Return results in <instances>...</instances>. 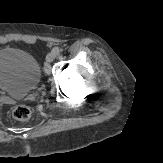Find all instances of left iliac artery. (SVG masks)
<instances>
[{
  "label": "left iliac artery",
  "mask_w": 163,
  "mask_h": 163,
  "mask_svg": "<svg viewBox=\"0 0 163 163\" xmlns=\"http://www.w3.org/2000/svg\"><path fill=\"white\" fill-rule=\"evenodd\" d=\"M53 51H54L56 54H59L60 48H59V47H54V48H53Z\"/></svg>",
  "instance_id": "left-iliac-artery-1"
}]
</instances>
